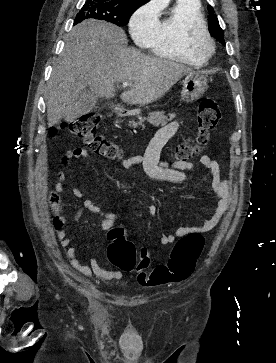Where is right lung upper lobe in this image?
<instances>
[{"label": "right lung upper lobe", "mask_w": 276, "mask_h": 363, "mask_svg": "<svg viewBox=\"0 0 276 363\" xmlns=\"http://www.w3.org/2000/svg\"><path fill=\"white\" fill-rule=\"evenodd\" d=\"M117 2H123V3H134L141 5L142 3H145L147 0H112Z\"/></svg>", "instance_id": "obj_1"}]
</instances>
